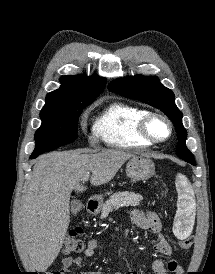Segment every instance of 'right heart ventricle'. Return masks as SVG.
Wrapping results in <instances>:
<instances>
[{
	"label": "right heart ventricle",
	"mask_w": 215,
	"mask_h": 274,
	"mask_svg": "<svg viewBox=\"0 0 215 274\" xmlns=\"http://www.w3.org/2000/svg\"><path fill=\"white\" fill-rule=\"evenodd\" d=\"M149 112L141 107L114 102L95 120L93 135L116 148L147 147L151 143L139 133V123Z\"/></svg>",
	"instance_id": "obj_1"
}]
</instances>
